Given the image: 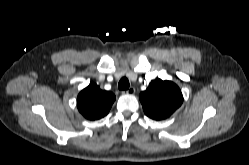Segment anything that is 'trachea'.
Returning <instances> with one entry per match:
<instances>
[{"label":"trachea","mask_w":249,"mask_h":165,"mask_svg":"<svg viewBox=\"0 0 249 165\" xmlns=\"http://www.w3.org/2000/svg\"><path fill=\"white\" fill-rule=\"evenodd\" d=\"M129 81L126 77L122 78L118 83L119 90H128L129 89Z\"/></svg>","instance_id":"1"}]
</instances>
